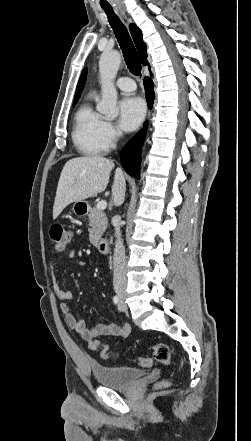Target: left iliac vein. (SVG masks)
<instances>
[{"mask_svg": "<svg viewBox=\"0 0 251 441\" xmlns=\"http://www.w3.org/2000/svg\"><path fill=\"white\" fill-rule=\"evenodd\" d=\"M125 309H126V305L124 304L123 300H121L119 305H118V310L119 311H125Z\"/></svg>", "mask_w": 251, "mask_h": 441, "instance_id": "obj_1", "label": "left iliac vein"}]
</instances>
